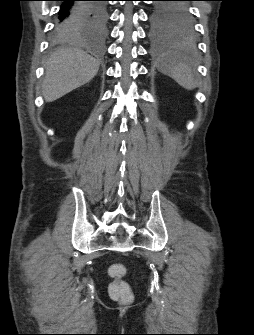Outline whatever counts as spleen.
Wrapping results in <instances>:
<instances>
[{
  "mask_svg": "<svg viewBox=\"0 0 254 335\" xmlns=\"http://www.w3.org/2000/svg\"><path fill=\"white\" fill-rule=\"evenodd\" d=\"M159 68L186 90H192L197 86L193 71L179 60L177 53L173 50L167 51L161 57Z\"/></svg>",
  "mask_w": 254,
  "mask_h": 335,
  "instance_id": "obj_1",
  "label": "spleen"
}]
</instances>
